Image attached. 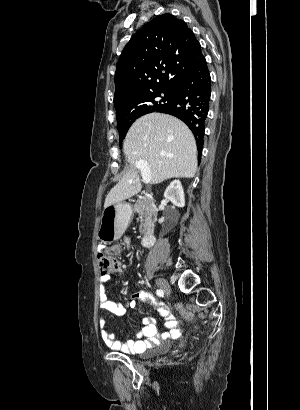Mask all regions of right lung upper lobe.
Instances as JSON below:
<instances>
[{
	"label": "right lung upper lobe",
	"mask_w": 300,
	"mask_h": 410,
	"mask_svg": "<svg viewBox=\"0 0 300 410\" xmlns=\"http://www.w3.org/2000/svg\"><path fill=\"white\" fill-rule=\"evenodd\" d=\"M204 58L194 33L171 14L156 17L125 46L115 73L117 121L139 114L140 99L174 90L178 81Z\"/></svg>",
	"instance_id": "right-lung-upper-lobe-1"
}]
</instances>
